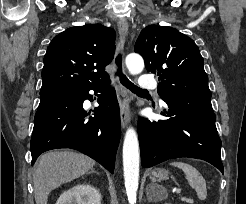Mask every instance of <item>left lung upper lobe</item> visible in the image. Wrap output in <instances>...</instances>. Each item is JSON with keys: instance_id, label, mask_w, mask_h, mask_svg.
I'll return each mask as SVG.
<instances>
[{"instance_id": "left-lung-upper-lobe-1", "label": "left lung upper lobe", "mask_w": 246, "mask_h": 204, "mask_svg": "<svg viewBox=\"0 0 246 204\" xmlns=\"http://www.w3.org/2000/svg\"><path fill=\"white\" fill-rule=\"evenodd\" d=\"M134 51L147 71L158 75V94L209 96L204 60L194 41L178 30L150 25L138 37Z\"/></svg>"}]
</instances>
